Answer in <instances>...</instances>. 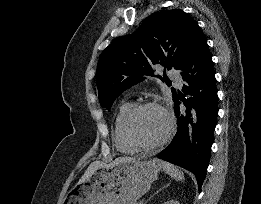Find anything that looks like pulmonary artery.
Instances as JSON below:
<instances>
[{
  "mask_svg": "<svg viewBox=\"0 0 261 204\" xmlns=\"http://www.w3.org/2000/svg\"><path fill=\"white\" fill-rule=\"evenodd\" d=\"M169 76L171 79H173L179 86H181L183 84V80L182 77L180 76V74L176 71H170L169 72Z\"/></svg>",
  "mask_w": 261,
  "mask_h": 204,
  "instance_id": "pulmonary-artery-1",
  "label": "pulmonary artery"
}]
</instances>
